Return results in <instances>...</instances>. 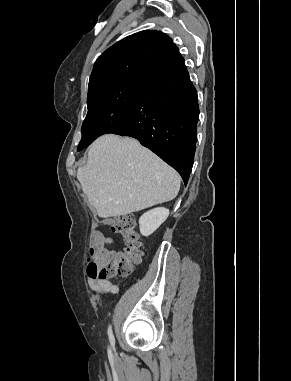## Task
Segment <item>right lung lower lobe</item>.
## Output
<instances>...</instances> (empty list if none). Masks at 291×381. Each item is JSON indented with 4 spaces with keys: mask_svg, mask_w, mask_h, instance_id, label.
I'll return each instance as SVG.
<instances>
[{
    "mask_svg": "<svg viewBox=\"0 0 291 381\" xmlns=\"http://www.w3.org/2000/svg\"><path fill=\"white\" fill-rule=\"evenodd\" d=\"M199 107L184 58L143 79L123 127L130 136L175 168L185 185L192 170Z\"/></svg>",
    "mask_w": 291,
    "mask_h": 381,
    "instance_id": "obj_1",
    "label": "right lung lower lobe"
}]
</instances>
